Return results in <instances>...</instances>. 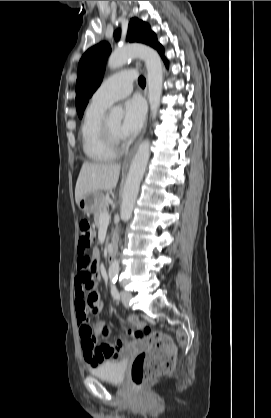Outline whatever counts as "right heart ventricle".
<instances>
[{"instance_id": "obj_1", "label": "right heart ventricle", "mask_w": 271, "mask_h": 418, "mask_svg": "<svg viewBox=\"0 0 271 418\" xmlns=\"http://www.w3.org/2000/svg\"><path fill=\"white\" fill-rule=\"evenodd\" d=\"M107 108L108 106L91 102L82 121V148L86 157L93 162H107L116 157V152L105 143L102 136V125Z\"/></svg>"}]
</instances>
